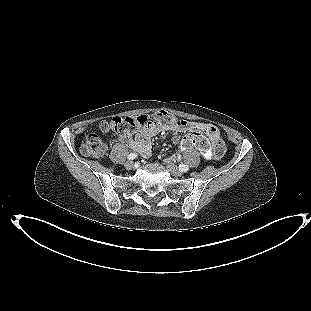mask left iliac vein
<instances>
[{
    "label": "left iliac vein",
    "mask_w": 311,
    "mask_h": 311,
    "mask_svg": "<svg viewBox=\"0 0 311 311\" xmlns=\"http://www.w3.org/2000/svg\"><path fill=\"white\" fill-rule=\"evenodd\" d=\"M167 170L173 175V176H180L182 172L177 168V166L170 160L166 163Z\"/></svg>",
    "instance_id": "left-iliac-vein-1"
}]
</instances>
